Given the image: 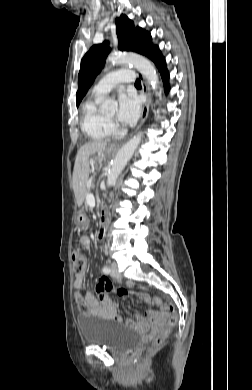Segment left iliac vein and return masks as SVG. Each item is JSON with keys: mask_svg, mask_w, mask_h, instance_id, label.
Masks as SVG:
<instances>
[{"mask_svg": "<svg viewBox=\"0 0 252 390\" xmlns=\"http://www.w3.org/2000/svg\"><path fill=\"white\" fill-rule=\"evenodd\" d=\"M111 276L115 279H121V274L119 273L118 269H117V265L116 264H113L111 266Z\"/></svg>", "mask_w": 252, "mask_h": 390, "instance_id": "left-iliac-vein-1", "label": "left iliac vein"}]
</instances>
